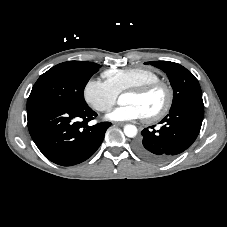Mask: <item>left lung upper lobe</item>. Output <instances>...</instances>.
Instances as JSON below:
<instances>
[{"label": "left lung upper lobe", "mask_w": 227, "mask_h": 227, "mask_svg": "<svg viewBox=\"0 0 227 227\" xmlns=\"http://www.w3.org/2000/svg\"><path fill=\"white\" fill-rule=\"evenodd\" d=\"M145 64H151L167 74L174 92L170 110L186 104L204 105L198 80L189 70L170 61H154Z\"/></svg>", "instance_id": "obj_1"}]
</instances>
